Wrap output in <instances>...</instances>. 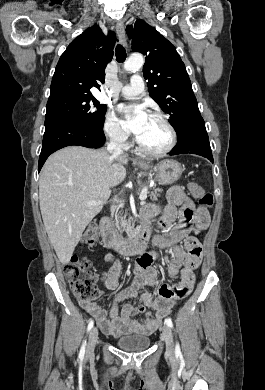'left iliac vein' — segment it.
<instances>
[{
	"mask_svg": "<svg viewBox=\"0 0 265 390\" xmlns=\"http://www.w3.org/2000/svg\"><path fill=\"white\" fill-rule=\"evenodd\" d=\"M162 338L166 344V353L169 356H173L175 352L172 331L169 326L164 325L162 327Z\"/></svg>",
	"mask_w": 265,
	"mask_h": 390,
	"instance_id": "obj_1",
	"label": "left iliac vein"
}]
</instances>
